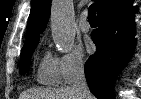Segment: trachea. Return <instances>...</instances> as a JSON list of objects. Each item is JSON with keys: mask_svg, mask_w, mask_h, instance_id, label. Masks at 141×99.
Returning a JSON list of instances; mask_svg holds the SVG:
<instances>
[{"mask_svg": "<svg viewBox=\"0 0 141 99\" xmlns=\"http://www.w3.org/2000/svg\"><path fill=\"white\" fill-rule=\"evenodd\" d=\"M96 9H97L96 3H93V4L90 5V7L88 9V19H89V21L97 20Z\"/></svg>", "mask_w": 141, "mask_h": 99, "instance_id": "1", "label": "trachea"}]
</instances>
